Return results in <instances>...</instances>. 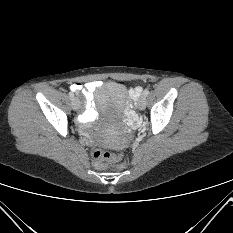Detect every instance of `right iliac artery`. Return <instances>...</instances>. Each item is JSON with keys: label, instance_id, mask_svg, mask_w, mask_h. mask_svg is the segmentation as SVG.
Here are the masks:
<instances>
[{"label": "right iliac artery", "instance_id": "82829eb1", "mask_svg": "<svg viewBox=\"0 0 233 233\" xmlns=\"http://www.w3.org/2000/svg\"><path fill=\"white\" fill-rule=\"evenodd\" d=\"M68 95L70 98H74V94L72 92H69Z\"/></svg>", "mask_w": 233, "mask_h": 233}]
</instances>
